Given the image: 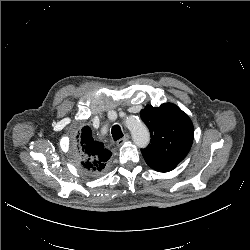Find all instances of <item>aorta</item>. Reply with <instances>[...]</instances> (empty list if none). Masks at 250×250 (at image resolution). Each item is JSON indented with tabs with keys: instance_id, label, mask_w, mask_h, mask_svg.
I'll list each match as a JSON object with an SVG mask.
<instances>
[{
	"instance_id": "aorta-1",
	"label": "aorta",
	"mask_w": 250,
	"mask_h": 250,
	"mask_svg": "<svg viewBox=\"0 0 250 250\" xmlns=\"http://www.w3.org/2000/svg\"><path fill=\"white\" fill-rule=\"evenodd\" d=\"M125 126L129 129L133 142L138 147H145L149 143L150 135L147 127L138 119L128 118Z\"/></svg>"
}]
</instances>
